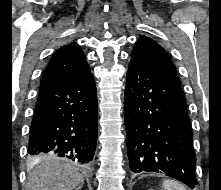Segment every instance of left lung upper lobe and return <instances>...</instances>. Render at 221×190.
<instances>
[{"label": "left lung upper lobe", "instance_id": "left-lung-upper-lobe-1", "mask_svg": "<svg viewBox=\"0 0 221 190\" xmlns=\"http://www.w3.org/2000/svg\"><path fill=\"white\" fill-rule=\"evenodd\" d=\"M134 60L146 63L158 71H161L174 82L180 84L175 67L165 50L155 41L142 37L136 41L131 53Z\"/></svg>", "mask_w": 221, "mask_h": 190}]
</instances>
